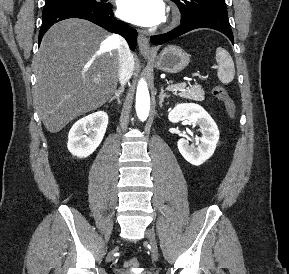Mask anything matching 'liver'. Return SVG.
Wrapping results in <instances>:
<instances>
[{
	"label": "liver",
	"instance_id": "6515ba94",
	"mask_svg": "<svg viewBox=\"0 0 289 274\" xmlns=\"http://www.w3.org/2000/svg\"><path fill=\"white\" fill-rule=\"evenodd\" d=\"M102 28L81 19L53 25L35 58L34 102L50 133L104 105L119 79L117 44Z\"/></svg>",
	"mask_w": 289,
	"mask_h": 274
}]
</instances>
